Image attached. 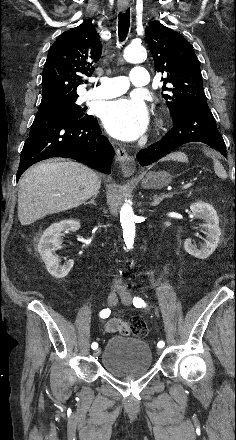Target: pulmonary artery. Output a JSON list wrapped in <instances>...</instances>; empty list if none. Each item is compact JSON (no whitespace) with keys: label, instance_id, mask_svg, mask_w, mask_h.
<instances>
[{"label":"pulmonary artery","instance_id":"obj_1","mask_svg":"<svg viewBox=\"0 0 236 440\" xmlns=\"http://www.w3.org/2000/svg\"><path fill=\"white\" fill-rule=\"evenodd\" d=\"M149 73L143 66H134L128 77H103L100 85L87 93L89 99H109L125 93L130 84L134 87H145L149 84Z\"/></svg>","mask_w":236,"mask_h":440}]
</instances>
